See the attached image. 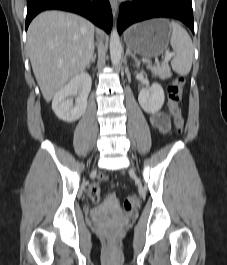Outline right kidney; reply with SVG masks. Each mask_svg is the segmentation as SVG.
Listing matches in <instances>:
<instances>
[{
    "label": "right kidney",
    "mask_w": 227,
    "mask_h": 265,
    "mask_svg": "<svg viewBox=\"0 0 227 265\" xmlns=\"http://www.w3.org/2000/svg\"><path fill=\"white\" fill-rule=\"evenodd\" d=\"M91 85L92 80L88 73L82 72L73 77L53 98L52 109L56 116L65 122L78 120L87 108ZM78 89H81V93L78 95L76 104L73 107V99L68 97L75 95Z\"/></svg>",
    "instance_id": "1"
}]
</instances>
